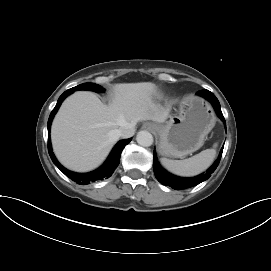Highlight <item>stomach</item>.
<instances>
[{
    "label": "stomach",
    "mask_w": 271,
    "mask_h": 271,
    "mask_svg": "<svg viewBox=\"0 0 271 271\" xmlns=\"http://www.w3.org/2000/svg\"><path fill=\"white\" fill-rule=\"evenodd\" d=\"M215 125V115L203 98L189 95L179 104L177 114L165 123L156 124L160 137L159 152L163 156L184 158L204 144Z\"/></svg>",
    "instance_id": "obj_1"
}]
</instances>
